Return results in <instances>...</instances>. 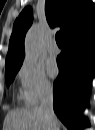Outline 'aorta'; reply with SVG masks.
Listing matches in <instances>:
<instances>
[{
  "mask_svg": "<svg viewBox=\"0 0 95 130\" xmlns=\"http://www.w3.org/2000/svg\"><path fill=\"white\" fill-rule=\"evenodd\" d=\"M41 27L34 24L27 32L25 38V58L29 62H36L41 52Z\"/></svg>",
  "mask_w": 95,
  "mask_h": 130,
  "instance_id": "762f6f07",
  "label": "aorta"
}]
</instances>
